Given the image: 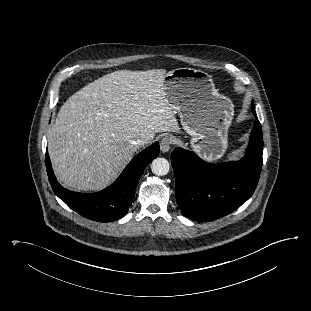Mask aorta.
Instances as JSON below:
<instances>
[{
    "label": "aorta",
    "instance_id": "1",
    "mask_svg": "<svg viewBox=\"0 0 311 311\" xmlns=\"http://www.w3.org/2000/svg\"><path fill=\"white\" fill-rule=\"evenodd\" d=\"M170 164L165 158H156L151 163V170L158 176H164L169 172Z\"/></svg>",
    "mask_w": 311,
    "mask_h": 311
}]
</instances>
